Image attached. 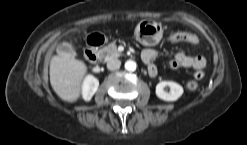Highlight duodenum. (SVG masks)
<instances>
[{
	"label": "duodenum",
	"mask_w": 247,
	"mask_h": 145,
	"mask_svg": "<svg viewBox=\"0 0 247 145\" xmlns=\"http://www.w3.org/2000/svg\"><path fill=\"white\" fill-rule=\"evenodd\" d=\"M87 43L88 45L85 49V57L88 62L94 64L97 62L99 57L98 48L105 43V38L100 34H93L88 37ZM148 69L151 73L156 71V67L154 65H150Z\"/></svg>",
	"instance_id": "duodenum-1"
}]
</instances>
